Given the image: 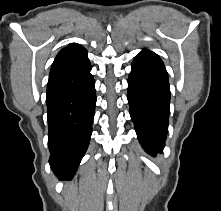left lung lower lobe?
I'll return each mask as SVG.
<instances>
[{"label": "left lung lower lobe", "instance_id": "1", "mask_svg": "<svg viewBox=\"0 0 221 211\" xmlns=\"http://www.w3.org/2000/svg\"><path fill=\"white\" fill-rule=\"evenodd\" d=\"M130 116L147 153H161L168 133L170 87L160 57L142 51L132 63L128 78Z\"/></svg>", "mask_w": 221, "mask_h": 211}]
</instances>
